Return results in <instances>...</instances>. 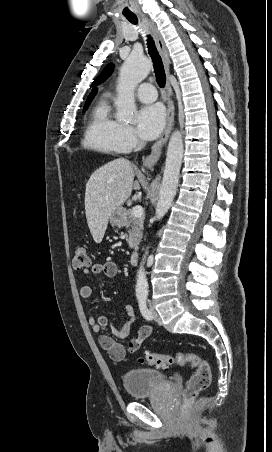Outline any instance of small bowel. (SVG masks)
<instances>
[{"label": "small bowel", "instance_id": "small-bowel-1", "mask_svg": "<svg viewBox=\"0 0 272 452\" xmlns=\"http://www.w3.org/2000/svg\"><path fill=\"white\" fill-rule=\"evenodd\" d=\"M91 272L94 275H105L108 278H113L118 273V266L113 261H104L101 263H94L91 266ZM84 275L89 274L88 269L83 270ZM93 295V288L91 285H83L80 288V296L83 299H90ZM126 314H127V320L122 324L120 328H116L114 325L111 324L110 320L106 316H100L99 318H96L94 316H91L88 320L89 325L91 326L92 330L96 333L102 332L105 328H107L109 325L111 326V333L112 336H106L102 335L99 337V342L101 346L106 349L111 357L115 360H120L124 356V351L120 346H117L114 343V339H124L128 337L134 328V326L137 323V315L135 312V309L132 305L128 304L125 307ZM153 332V329L151 326H143L138 331L134 338H132L130 341H136L138 344V348L141 346V344L151 336ZM116 350H119L120 356L117 357L114 355V352Z\"/></svg>", "mask_w": 272, "mask_h": 452}]
</instances>
